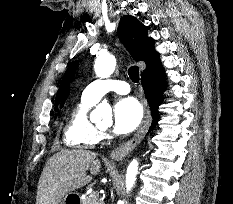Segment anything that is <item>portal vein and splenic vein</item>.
<instances>
[{
	"label": "portal vein and splenic vein",
	"instance_id": "18ae733b",
	"mask_svg": "<svg viewBox=\"0 0 233 204\" xmlns=\"http://www.w3.org/2000/svg\"><path fill=\"white\" fill-rule=\"evenodd\" d=\"M91 195H92L93 197H98V196H99V192H98V191H93V192L91 193Z\"/></svg>",
	"mask_w": 233,
	"mask_h": 204
}]
</instances>
